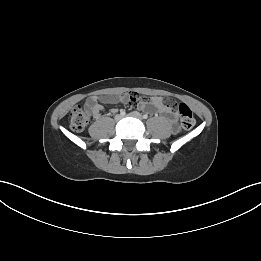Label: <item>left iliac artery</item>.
<instances>
[{"label": "left iliac artery", "instance_id": "44dca946", "mask_svg": "<svg viewBox=\"0 0 261 261\" xmlns=\"http://www.w3.org/2000/svg\"><path fill=\"white\" fill-rule=\"evenodd\" d=\"M148 118V115L147 114H144L143 115V119H147Z\"/></svg>", "mask_w": 261, "mask_h": 261}]
</instances>
